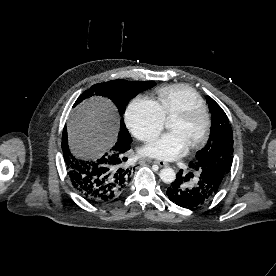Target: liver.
<instances>
[{"label":"liver","instance_id":"liver-1","mask_svg":"<svg viewBox=\"0 0 276 276\" xmlns=\"http://www.w3.org/2000/svg\"><path fill=\"white\" fill-rule=\"evenodd\" d=\"M118 120L116 109L109 100L93 97L83 101L72 111L67 122L71 151L80 158L101 156L116 140Z\"/></svg>","mask_w":276,"mask_h":276}]
</instances>
